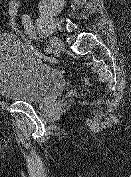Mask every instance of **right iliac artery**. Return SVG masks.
Here are the masks:
<instances>
[{
    "mask_svg": "<svg viewBox=\"0 0 131 177\" xmlns=\"http://www.w3.org/2000/svg\"><path fill=\"white\" fill-rule=\"evenodd\" d=\"M22 24H23V26L25 28V31L28 34V36L30 38L35 39L36 38V33H35L33 22H32V20H31L29 15L24 14L22 16ZM45 52L50 54L52 52V48L50 46H47L45 48Z\"/></svg>",
    "mask_w": 131,
    "mask_h": 177,
    "instance_id": "obj_1",
    "label": "right iliac artery"
}]
</instances>
